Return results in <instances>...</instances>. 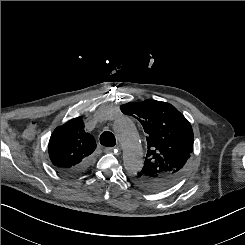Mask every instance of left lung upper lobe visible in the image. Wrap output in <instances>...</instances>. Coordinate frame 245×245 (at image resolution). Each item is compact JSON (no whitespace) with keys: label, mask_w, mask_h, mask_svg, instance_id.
<instances>
[{"label":"left lung upper lobe","mask_w":245,"mask_h":245,"mask_svg":"<svg viewBox=\"0 0 245 245\" xmlns=\"http://www.w3.org/2000/svg\"><path fill=\"white\" fill-rule=\"evenodd\" d=\"M133 116L147 133L148 151L134 182L155 190L161 179H176L193 152L194 135L189 121L171 104L156 100L130 102L120 107Z\"/></svg>","instance_id":"obj_1"}]
</instances>
